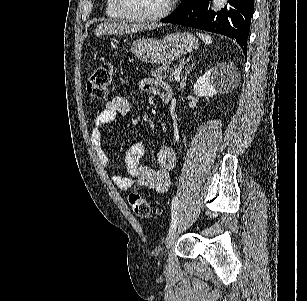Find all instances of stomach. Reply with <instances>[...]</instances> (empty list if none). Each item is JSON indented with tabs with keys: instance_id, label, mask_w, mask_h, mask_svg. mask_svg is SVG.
<instances>
[{
	"instance_id": "0dacf381",
	"label": "stomach",
	"mask_w": 307,
	"mask_h": 301,
	"mask_svg": "<svg viewBox=\"0 0 307 301\" xmlns=\"http://www.w3.org/2000/svg\"><path fill=\"white\" fill-rule=\"evenodd\" d=\"M198 46L192 32H171L163 38H137L131 42V52L142 62L152 64H171L182 54L191 52Z\"/></svg>"
}]
</instances>
